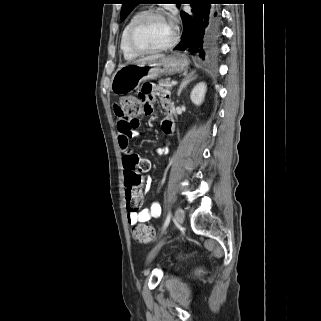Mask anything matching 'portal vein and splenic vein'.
Wrapping results in <instances>:
<instances>
[{
  "instance_id": "18ae733b",
  "label": "portal vein and splenic vein",
  "mask_w": 321,
  "mask_h": 321,
  "mask_svg": "<svg viewBox=\"0 0 321 321\" xmlns=\"http://www.w3.org/2000/svg\"><path fill=\"white\" fill-rule=\"evenodd\" d=\"M176 84H177V81H172V82H171V85H172V86H175Z\"/></svg>"
}]
</instances>
